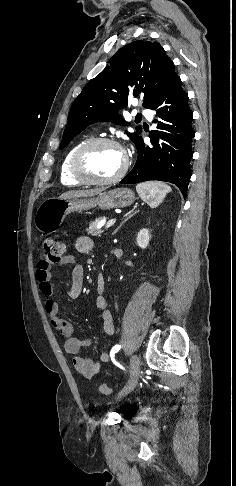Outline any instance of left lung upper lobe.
Wrapping results in <instances>:
<instances>
[{
  "instance_id": "5c2ea615",
  "label": "left lung upper lobe",
  "mask_w": 236,
  "mask_h": 486,
  "mask_svg": "<svg viewBox=\"0 0 236 486\" xmlns=\"http://www.w3.org/2000/svg\"><path fill=\"white\" fill-rule=\"evenodd\" d=\"M109 63L74 101L60 149L93 123L104 120L129 125L118 114L127 107L129 97L144 93L143 106L148 108L166 85L178 77L174 63L157 42L134 41L117 51ZM136 131L142 132L140 127ZM126 133L134 143L141 138L137 133Z\"/></svg>"
}]
</instances>
